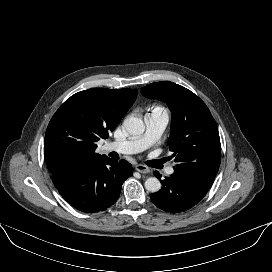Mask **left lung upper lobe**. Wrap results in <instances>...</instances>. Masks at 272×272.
Returning a JSON list of instances; mask_svg holds the SVG:
<instances>
[{
  "label": "left lung upper lobe",
  "mask_w": 272,
  "mask_h": 272,
  "mask_svg": "<svg viewBox=\"0 0 272 272\" xmlns=\"http://www.w3.org/2000/svg\"><path fill=\"white\" fill-rule=\"evenodd\" d=\"M141 93L165 100L172 111L168 142L175 170L213 182L221 161L218 128L206 104L193 92L170 81L149 84Z\"/></svg>",
  "instance_id": "obj_1"
}]
</instances>
